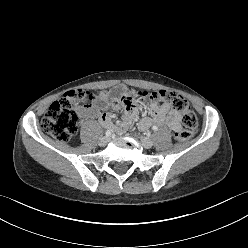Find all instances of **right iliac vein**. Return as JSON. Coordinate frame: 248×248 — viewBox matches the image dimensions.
Listing matches in <instances>:
<instances>
[{"label": "right iliac vein", "instance_id": "63e3f726", "mask_svg": "<svg viewBox=\"0 0 248 248\" xmlns=\"http://www.w3.org/2000/svg\"><path fill=\"white\" fill-rule=\"evenodd\" d=\"M108 142H109V137L107 136L101 137L98 141L100 146H105Z\"/></svg>", "mask_w": 248, "mask_h": 248}]
</instances>
